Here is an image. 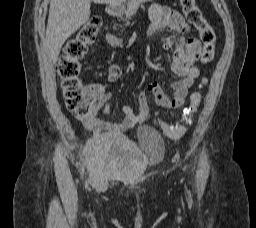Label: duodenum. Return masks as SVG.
I'll use <instances>...</instances> for the list:
<instances>
[{
	"label": "duodenum",
	"instance_id": "410a0bca",
	"mask_svg": "<svg viewBox=\"0 0 256 228\" xmlns=\"http://www.w3.org/2000/svg\"><path fill=\"white\" fill-rule=\"evenodd\" d=\"M106 11L107 13L110 15V16H119L121 13H122V8L120 5L118 4H114V3H111V4H108L107 7H106ZM108 40L110 42H114L115 41V38L113 36H108Z\"/></svg>",
	"mask_w": 256,
	"mask_h": 228
}]
</instances>
